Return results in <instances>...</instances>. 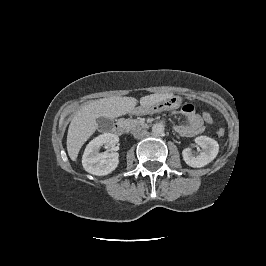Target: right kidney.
Wrapping results in <instances>:
<instances>
[{
	"mask_svg": "<svg viewBox=\"0 0 266 266\" xmlns=\"http://www.w3.org/2000/svg\"><path fill=\"white\" fill-rule=\"evenodd\" d=\"M118 141L119 137L117 135L104 133L89 142L82 157V165L85 171L97 176L108 175L114 171L119 164L118 153H99V149L103 145L112 148L118 143Z\"/></svg>",
	"mask_w": 266,
	"mask_h": 266,
	"instance_id": "1",
	"label": "right kidney"
}]
</instances>
